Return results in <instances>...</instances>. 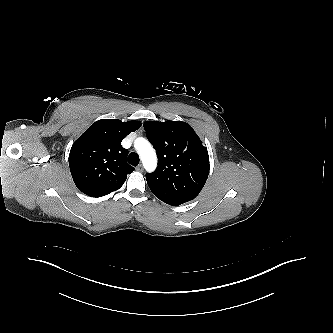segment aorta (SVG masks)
<instances>
[{"instance_id":"obj_1","label":"aorta","mask_w":333,"mask_h":333,"mask_svg":"<svg viewBox=\"0 0 333 333\" xmlns=\"http://www.w3.org/2000/svg\"><path fill=\"white\" fill-rule=\"evenodd\" d=\"M134 147L146 171H154L157 166V156L149 141L143 137H139L135 140Z\"/></svg>"}]
</instances>
